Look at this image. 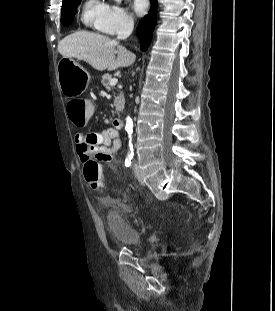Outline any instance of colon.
Segmentation results:
<instances>
[{"label": "colon", "mask_w": 275, "mask_h": 311, "mask_svg": "<svg viewBox=\"0 0 275 311\" xmlns=\"http://www.w3.org/2000/svg\"><path fill=\"white\" fill-rule=\"evenodd\" d=\"M100 103V97H85L69 102L68 113L76 129H85L86 121H91L92 117L97 116V104ZM84 177L91 189L99 191L103 187L102 168L97 161L90 160L84 165Z\"/></svg>", "instance_id": "1"}]
</instances>
